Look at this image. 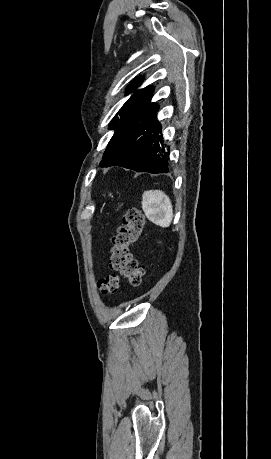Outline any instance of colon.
I'll list each match as a JSON object with an SVG mask.
<instances>
[{"label":"colon","mask_w":271,"mask_h":459,"mask_svg":"<svg viewBox=\"0 0 271 459\" xmlns=\"http://www.w3.org/2000/svg\"><path fill=\"white\" fill-rule=\"evenodd\" d=\"M145 229V217L136 208L127 210L116 236L113 238L110 268L122 275L133 286L142 284L145 268L133 256L131 248L142 236ZM102 294L119 292L120 283L116 275H108L98 282Z\"/></svg>","instance_id":"5ec220e1"}]
</instances>
